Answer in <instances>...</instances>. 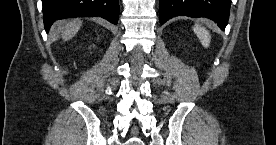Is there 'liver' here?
Masks as SVG:
<instances>
[{
	"mask_svg": "<svg viewBox=\"0 0 276 145\" xmlns=\"http://www.w3.org/2000/svg\"><path fill=\"white\" fill-rule=\"evenodd\" d=\"M82 25V21L80 19H74L68 21L65 26H63L62 31V39L67 41L75 36V34L79 31Z\"/></svg>",
	"mask_w": 276,
	"mask_h": 145,
	"instance_id": "6515ba94",
	"label": "liver"
}]
</instances>
